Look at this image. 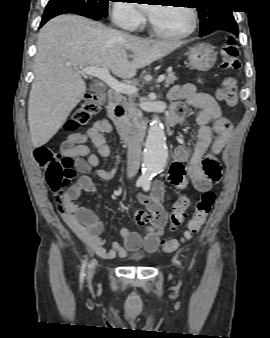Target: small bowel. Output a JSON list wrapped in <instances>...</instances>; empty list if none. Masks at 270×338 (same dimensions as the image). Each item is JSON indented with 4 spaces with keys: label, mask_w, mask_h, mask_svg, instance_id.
Returning a JSON list of instances; mask_svg holds the SVG:
<instances>
[{
    "label": "small bowel",
    "mask_w": 270,
    "mask_h": 338,
    "mask_svg": "<svg viewBox=\"0 0 270 338\" xmlns=\"http://www.w3.org/2000/svg\"><path fill=\"white\" fill-rule=\"evenodd\" d=\"M169 100L172 123L174 125L186 123L182 111L188 106L197 110L195 122L198 129L197 139L190 149L183 145L175 146L174 161L167 171L168 183L177 189H183L185 175L188 174L193 188L197 192L209 191L212 184L219 180L221 172L219 177L215 179L204 171L202 162L206 157L217 162V156L223 152L231 138L232 128L229 126L226 130H218L217 122L222 119L218 102L210 94L198 91L197 86L193 83L174 86L169 92ZM112 130L111 122L103 118L97 120L86 133H71L63 142L62 157H71L81 175L62 196L58 197L60 210L70 229L90 250L105 260H112L118 255L124 256L127 251L139 252L144 249L148 253L155 252L165 218V209L162 205L164 186L162 182L155 181L150 197L144 194L137 195L138 200L145 205L146 211L136 210L134 212L135 219L139 222L140 215L144 212L150 215V219L144 223V237L136 232L122 229L121 235L124 243L113 241L109 247H106L105 241L101 238L103 223L92 212L78 205V200L83 193L96 191L94 175L100 179L108 180L115 173V165L119 162V156H115V164L111 169H98L94 174L91 172L92 168L99 164V156L103 158L110 156L111 151L106 141V135L110 134ZM88 141L96 146L98 155L90 152L86 144ZM185 160H187V164L184 163ZM218 167L220 168L219 164Z\"/></svg>",
    "instance_id": "1"
}]
</instances>
